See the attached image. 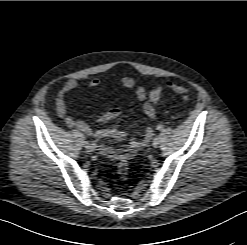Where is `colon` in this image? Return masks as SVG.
I'll use <instances>...</instances> for the list:
<instances>
[{"mask_svg":"<svg viewBox=\"0 0 247 245\" xmlns=\"http://www.w3.org/2000/svg\"><path fill=\"white\" fill-rule=\"evenodd\" d=\"M171 90L180 95L182 98L186 99L189 96V90L188 88L181 86V85H176V84H171L170 85ZM161 98V92L160 90L156 89L150 92L149 95V102L150 103H155L159 101ZM117 173L118 177L121 181H126L129 177V161L128 158L126 157H121L118 160L117 163Z\"/></svg>","mask_w":247,"mask_h":245,"instance_id":"obj_1","label":"colon"}]
</instances>
